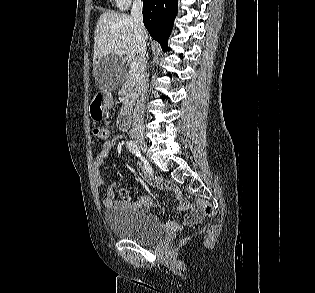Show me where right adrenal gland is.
Returning <instances> with one entry per match:
<instances>
[{
  "mask_svg": "<svg viewBox=\"0 0 315 293\" xmlns=\"http://www.w3.org/2000/svg\"><path fill=\"white\" fill-rule=\"evenodd\" d=\"M148 59H149V57H148V53H147L146 59H145L146 64H147V60H148Z\"/></svg>",
  "mask_w": 315,
  "mask_h": 293,
  "instance_id": "obj_1",
  "label": "right adrenal gland"
}]
</instances>
